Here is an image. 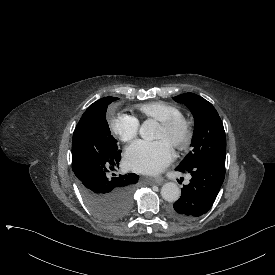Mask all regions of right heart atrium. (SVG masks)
<instances>
[{
    "mask_svg": "<svg viewBox=\"0 0 275 275\" xmlns=\"http://www.w3.org/2000/svg\"><path fill=\"white\" fill-rule=\"evenodd\" d=\"M111 133L126 144L136 141L139 133L138 120L130 115L119 114L110 122Z\"/></svg>",
    "mask_w": 275,
    "mask_h": 275,
    "instance_id": "right-heart-atrium-1",
    "label": "right heart atrium"
}]
</instances>
